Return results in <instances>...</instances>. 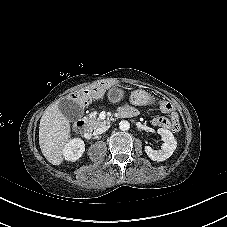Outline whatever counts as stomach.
<instances>
[{
    "label": "stomach",
    "instance_id": "obj_1",
    "mask_svg": "<svg viewBox=\"0 0 227 227\" xmlns=\"http://www.w3.org/2000/svg\"><path fill=\"white\" fill-rule=\"evenodd\" d=\"M109 96L114 102H119L124 97V92L118 87H112L109 91ZM130 101L137 106H143L153 103V99L146 91L138 89L131 93Z\"/></svg>",
    "mask_w": 227,
    "mask_h": 227
}]
</instances>
